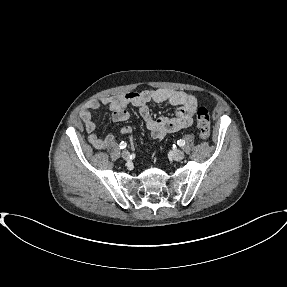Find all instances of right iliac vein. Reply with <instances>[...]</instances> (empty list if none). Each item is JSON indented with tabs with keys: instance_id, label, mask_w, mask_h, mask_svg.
<instances>
[{
	"instance_id": "63e3f726",
	"label": "right iliac vein",
	"mask_w": 287,
	"mask_h": 287,
	"mask_svg": "<svg viewBox=\"0 0 287 287\" xmlns=\"http://www.w3.org/2000/svg\"><path fill=\"white\" fill-rule=\"evenodd\" d=\"M121 156L123 159L128 160L130 157V153L127 150L122 151Z\"/></svg>"
}]
</instances>
